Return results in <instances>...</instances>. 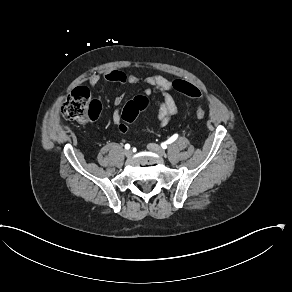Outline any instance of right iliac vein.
Listing matches in <instances>:
<instances>
[{
  "label": "right iliac vein",
  "mask_w": 292,
  "mask_h": 292,
  "mask_svg": "<svg viewBox=\"0 0 292 292\" xmlns=\"http://www.w3.org/2000/svg\"><path fill=\"white\" fill-rule=\"evenodd\" d=\"M124 154L126 157H130L132 155V151L131 150H125Z\"/></svg>",
  "instance_id": "right-iliac-vein-1"
}]
</instances>
